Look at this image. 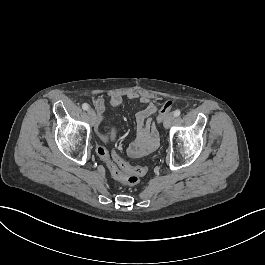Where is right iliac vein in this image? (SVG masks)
Listing matches in <instances>:
<instances>
[{
	"label": "right iliac vein",
	"mask_w": 265,
	"mask_h": 265,
	"mask_svg": "<svg viewBox=\"0 0 265 265\" xmlns=\"http://www.w3.org/2000/svg\"><path fill=\"white\" fill-rule=\"evenodd\" d=\"M87 114L89 116L90 122L93 123L94 117H95V111L92 108H90V109H88Z\"/></svg>",
	"instance_id": "obj_1"
}]
</instances>
